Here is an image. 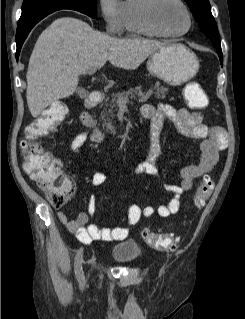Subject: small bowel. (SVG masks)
<instances>
[{
	"mask_svg": "<svg viewBox=\"0 0 245 319\" xmlns=\"http://www.w3.org/2000/svg\"><path fill=\"white\" fill-rule=\"evenodd\" d=\"M143 118L151 122L149 156L146 162L138 165L134 172L137 175L156 176L158 168L156 160L160 155V146L157 142L159 131L165 120L170 121L180 134L198 142L199 160L197 163L184 167L181 171L179 185L167 186L172 194L171 200L160 205L156 210L151 205L144 207L132 203L128 208V221L131 226L137 224L142 218H149L155 212L161 217H169L180 209L181 199L185 192L191 190L194 180L210 173L217 163L218 155L226 146V134L218 127H210L202 123V114L185 107L176 108L169 104H159L154 107L145 104L141 108ZM88 140V133L77 134L70 142V149L78 153ZM91 184L100 186L106 181V175L96 172L91 176ZM97 209V202L93 195L90 196L86 212L80 213L75 219L69 220L64 211L58 212V218L66 224L67 228L77 239L90 244L93 241L117 242L129 235L127 227L99 228L90 220Z\"/></svg>",
	"mask_w": 245,
	"mask_h": 319,
	"instance_id": "small-bowel-1",
	"label": "small bowel"
}]
</instances>
